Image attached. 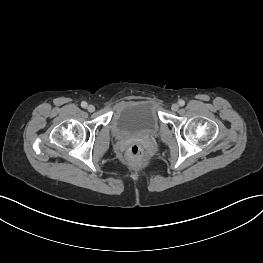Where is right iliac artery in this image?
I'll list each match as a JSON object with an SVG mask.
<instances>
[{
    "label": "right iliac artery",
    "instance_id": "right-iliac-artery-1",
    "mask_svg": "<svg viewBox=\"0 0 263 263\" xmlns=\"http://www.w3.org/2000/svg\"><path fill=\"white\" fill-rule=\"evenodd\" d=\"M81 106H82L83 108H86V107H87V102L83 101V102L81 103Z\"/></svg>",
    "mask_w": 263,
    "mask_h": 263
}]
</instances>
